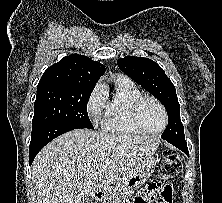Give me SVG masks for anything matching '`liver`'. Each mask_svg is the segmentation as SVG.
Here are the masks:
<instances>
[{"mask_svg": "<svg viewBox=\"0 0 222 203\" xmlns=\"http://www.w3.org/2000/svg\"><path fill=\"white\" fill-rule=\"evenodd\" d=\"M159 144L155 137L88 129L62 134L47 144L32 164L37 202L81 203L98 191L114 196Z\"/></svg>", "mask_w": 222, "mask_h": 203, "instance_id": "6515ba94", "label": "liver"}]
</instances>
